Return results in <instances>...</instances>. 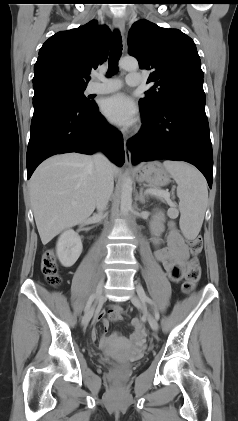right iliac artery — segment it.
<instances>
[{"label": "right iliac artery", "instance_id": "1", "mask_svg": "<svg viewBox=\"0 0 238 421\" xmlns=\"http://www.w3.org/2000/svg\"><path fill=\"white\" fill-rule=\"evenodd\" d=\"M95 294H92L90 297H89V299H88V301H87V303H86V306H85V312L86 311H88V309L90 308V306H91V304H92V302H93V300L95 299Z\"/></svg>", "mask_w": 238, "mask_h": 421}]
</instances>
